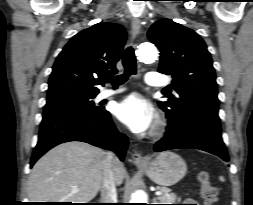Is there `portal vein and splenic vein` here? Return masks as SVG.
Here are the masks:
<instances>
[{
    "mask_svg": "<svg viewBox=\"0 0 253 205\" xmlns=\"http://www.w3.org/2000/svg\"><path fill=\"white\" fill-rule=\"evenodd\" d=\"M78 190H79L78 187H74V188H73V191H74V192H76V191H78ZM161 194H162L161 191H156V192H155V195H156V196H160Z\"/></svg>",
    "mask_w": 253,
    "mask_h": 205,
    "instance_id": "1",
    "label": "portal vein and splenic vein"
}]
</instances>
